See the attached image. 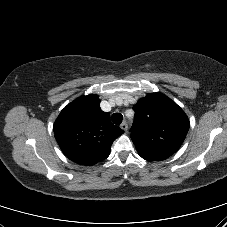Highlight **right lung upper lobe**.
I'll list each match as a JSON object with an SVG mask.
<instances>
[{
    "label": "right lung upper lobe",
    "instance_id": "obj_1",
    "mask_svg": "<svg viewBox=\"0 0 227 227\" xmlns=\"http://www.w3.org/2000/svg\"><path fill=\"white\" fill-rule=\"evenodd\" d=\"M100 99L90 94L75 99L59 114L53 127L55 138L71 161L92 166L106 159L113 141L124 131L110 122Z\"/></svg>",
    "mask_w": 227,
    "mask_h": 227
}]
</instances>
